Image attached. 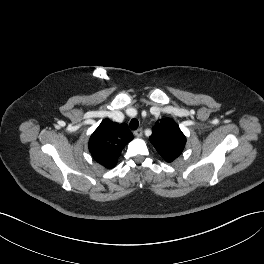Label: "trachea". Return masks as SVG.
I'll use <instances>...</instances> for the list:
<instances>
[{
    "mask_svg": "<svg viewBox=\"0 0 264 264\" xmlns=\"http://www.w3.org/2000/svg\"><path fill=\"white\" fill-rule=\"evenodd\" d=\"M139 126V122L137 119L133 118L131 121H130V128L131 130H136Z\"/></svg>",
    "mask_w": 264,
    "mask_h": 264,
    "instance_id": "obj_1",
    "label": "trachea"
}]
</instances>
